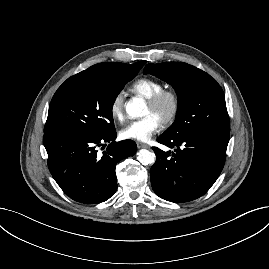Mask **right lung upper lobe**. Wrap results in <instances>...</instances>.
<instances>
[{
  "label": "right lung upper lobe",
  "mask_w": 269,
  "mask_h": 269,
  "mask_svg": "<svg viewBox=\"0 0 269 269\" xmlns=\"http://www.w3.org/2000/svg\"><path fill=\"white\" fill-rule=\"evenodd\" d=\"M145 63V61H140L130 65L118 62H105L93 65L82 72L117 73L130 71L138 73Z\"/></svg>",
  "instance_id": "1"
}]
</instances>
